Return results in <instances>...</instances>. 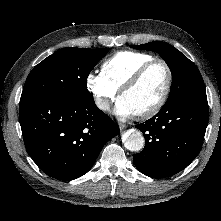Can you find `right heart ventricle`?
I'll return each instance as SVG.
<instances>
[{"label":"right heart ventricle","mask_w":221,"mask_h":221,"mask_svg":"<svg viewBox=\"0 0 221 221\" xmlns=\"http://www.w3.org/2000/svg\"><path fill=\"white\" fill-rule=\"evenodd\" d=\"M155 59L151 54L136 51H120L106 59L101 72L106 80L117 90L144 63Z\"/></svg>","instance_id":"right-heart-ventricle-1"}]
</instances>
